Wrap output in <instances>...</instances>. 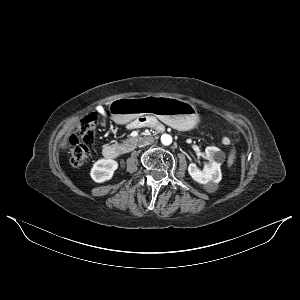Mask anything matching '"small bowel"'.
<instances>
[{
  "label": "small bowel",
  "mask_w": 300,
  "mask_h": 300,
  "mask_svg": "<svg viewBox=\"0 0 300 300\" xmlns=\"http://www.w3.org/2000/svg\"><path fill=\"white\" fill-rule=\"evenodd\" d=\"M139 124H141L140 121H135V122H134V125H139ZM223 143H224V144H228V143H229V139H228V138H224V139H223Z\"/></svg>",
  "instance_id": "obj_1"
}]
</instances>
